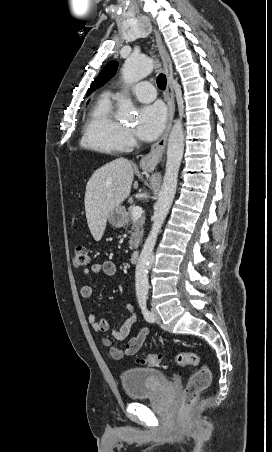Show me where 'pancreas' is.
<instances>
[{"label":"pancreas","instance_id":"obj_1","mask_svg":"<svg viewBox=\"0 0 272 452\" xmlns=\"http://www.w3.org/2000/svg\"><path fill=\"white\" fill-rule=\"evenodd\" d=\"M133 207H134V205H130V207L128 208V211L126 212V219H125L124 225H128L133 220V217H132V208ZM144 220H145L144 217H140L133 222L132 230L129 231V233L131 234L130 240H129V248L130 249H136L142 240Z\"/></svg>","mask_w":272,"mask_h":452}]
</instances>
